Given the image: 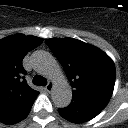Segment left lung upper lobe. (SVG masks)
Here are the masks:
<instances>
[{"label": "left lung upper lobe", "mask_w": 128, "mask_h": 128, "mask_svg": "<svg viewBox=\"0 0 128 128\" xmlns=\"http://www.w3.org/2000/svg\"><path fill=\"white\" fill-rule=\"evenodd\" d=\"M47 45L71 82L72 100L109 102L115 84V65L99 48L77 39H47Z\"/></svg>", "instance_id": "obj_1"}]
</instances>
